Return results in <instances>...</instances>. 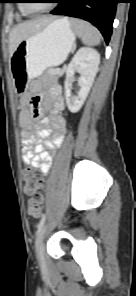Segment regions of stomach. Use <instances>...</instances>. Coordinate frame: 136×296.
I'll return each instance as SVG.
<instances>
[{
    "mask_svg": "<svg viewBox=\"0 0 136 296\" xmlns=\"http://www.w3.org/2000/svg\"><path fill=\"white\" fill-rule=\"evenodd\" d=\"M74 43V30L67 18L49 22L21 41L10 58L17 94H27L26 82L39 78L49 67L60 65Z\"/></svg>",
    "mask_w": 136,
    "mask_h": 296,
    "instance_id": "1",
    "label": "stomach"
}]
</instances>
